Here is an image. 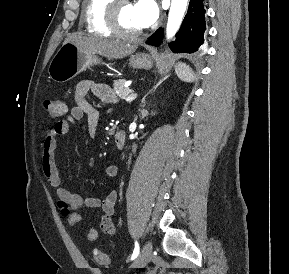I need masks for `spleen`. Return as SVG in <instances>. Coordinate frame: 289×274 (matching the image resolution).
Listing matches in <instances>:
<instances>
[{
    "mask_svg": "<svg viewBox=\"0 0 289 274\" xmlns=\"http://www.w3.org/2000/svg\"><path fill=\"white\" fill-rule=\"evenodd\" d=\"M175 72L182 81L192 82L194 80L192 70L184 63H178V65L175 67Z\"/></svg>",
    "mask_w": 289,
    "mask_h": 274,
    "instance_id": "spleen-1",
    "label": "spleen"
}]
</instances>
